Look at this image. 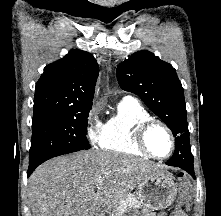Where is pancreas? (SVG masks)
<instances>
[{
  "instance_id": "pancreas-1",
  "label": "pancreas",
  "mask_w": 221,
  "mask_h": 216,
  "mask_svg": "<svg viewBox=\"0 0 221 216\" xmlns=\"http://www.w3.org/2000/svg\"><path fill=\"white\" fill-rule=\"evenodd\" d=\"M138 205L139 201L134 195H124L116 206V210L114 211V213L116 216H122L124 212L133 207H137ZM111 216H114V214H112Z\"/></svg>"
}]
</instances>
